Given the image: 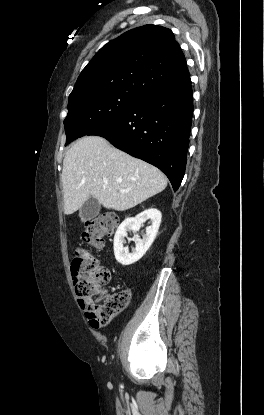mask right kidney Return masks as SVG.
Masks as SVG:
<instances>
[{"instance_id": "ca27d5eb", "label": "right kidney", "mask_w": 264, "mask_h": 415, "mask_svg": "<svg viewBox=\"0 0 264 415\" xmlns=\"http://www.w3.org/2000/svg\"><path fill=\"white\" fill-rule=\"evenodd\" d=\"M161 212L155 208L147 209L134 218H126L118 227L114 236V255L116 260L122 265H131L143 257L147 250L152 245L158 233L161 223ZM150 220L151 225L146 228V235L143 239L139 236L134 238L135 248L129 252L128 247L124 246V238L127 236V231L137 232L142 224Z\"/></svg>"}]
</instances>
